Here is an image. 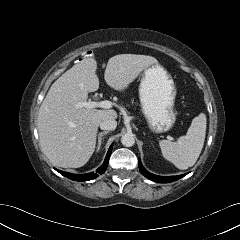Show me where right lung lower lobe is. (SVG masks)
Wrapping results in <instances>:
<instances>
[{"instance_id": "1", "label": "right lung lower lobe", "mask_w": 240, "mask_h": 240, "mask_svg": "<svg viewBox=\"0 0 240 240\" xmlns=\"http://www.w3.org/2000/svg\"><path fill=\"white\" fill-rule=\"evenodd\" d=\"M111 152H112V145L110 146V148H109V150L107 152V155H106V158H105V161H104L103 165L96 170V173L91 172V173H87V174H71V173L60 171V170H57V169L56 170L60 174H62L63 176H65V177H67V178H69L71 180H75V181H88V180H92V179L98 177V174H102V173L105 172V170L107 168V165H108V162H109V158H110Z\"/></svg>"}]
</instances>
